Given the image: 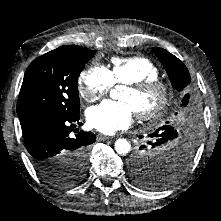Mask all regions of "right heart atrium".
<instances>
[{
  "label": "right heart atrium",
  "mask_w": 221,
  "mask_h": 221,
  "mask_svg": "<svg viewBox=\"0 0 221 221\" xmlns=\"http://www.w3.org/2000/svg\"><path fill=\"white\" fill-rule=\"evenodd\" d=\"M114 82L109 71L104 66H92L83 71L78 79V88L81 97L92 102L105 95Z\"/></svg>",
  "instance_id": "obj_1"
}]
</instances>
